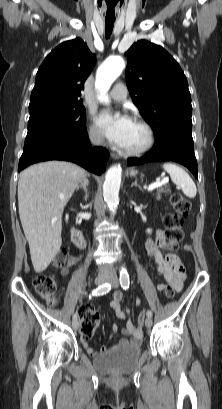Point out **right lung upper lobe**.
<instances>
[{
	"label": "right lung upper lobe",
	"instance_id": "obj_1",
	"mask_svg": "<svg viewBox=\"0 0 222 409\" xmlns=\"http://www.w3.org/2000/svg\"><path fill=\"white\" fill-rule=\"evenodd\" d=\"M96 57L82 39L60 44L44 60L35 80L29 108L48 103L81 102L83 84Z\"/></svg>",
	"mask_w": 222,
	"mask_h": 409
}]
</instances>
